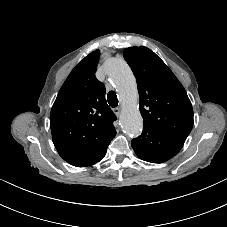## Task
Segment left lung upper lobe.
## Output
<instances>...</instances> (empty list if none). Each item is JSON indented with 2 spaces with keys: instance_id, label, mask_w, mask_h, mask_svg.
<instances>
[{
  "instance_id": "1",
  "label": "left lung upper lobe",
  "mask_w": 227,
  "mask_h": 227,
  "mask_svg": "<svg viewBox=\"0 0 227 227\" xmlns=\"http://www.w3.org/2000/svg\"><path fill=\"white\" fill-rule=\"evenodd\" d=\"M124 58L136 77L144 127L185 142L193 127V109L182 84L161 58L144 46L126 48Z\"/></svg>"
}]
</instances>
